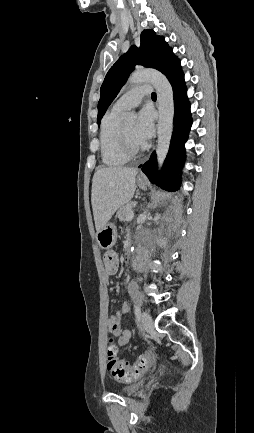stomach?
<instances>
[{"instance_id": "obj_1", "label": "stomach", "mask_w": 254, "mask_h": 433, "mask_svg": "<svg viewBox=\"0 0 254 433\" xmlns=\"http://www.w3.org/2000/svg\"><path fill=\"white\" fill-rule=\"evenodd\" d=\"M137 184L141 189L147 188V181L138 178ZM97 242L102 249L111 248L117 239V229L113 223H107L102 229L96 234Z\"/></svg>"}]
</instances>
